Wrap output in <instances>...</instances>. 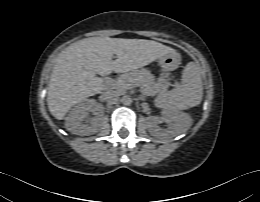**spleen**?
Wrapping results in <instances>:
<instances>
[{"label":"spleen","instance_id":"3e777b00","mask_svg":"<svg viewBox=\"0 0 260 202\" xmlns=\"http://www.w3.org/2000/svg\"><path fill=\"white\" fill-rule=\"evenodd\" d=\"M202 96L203 86L198 67L190 62L183 70L181 84L159 96L155 105L164 111L185 110L199 105Z\"/></svg>","mask_w":260,"mask_h":202}]
</instances>
